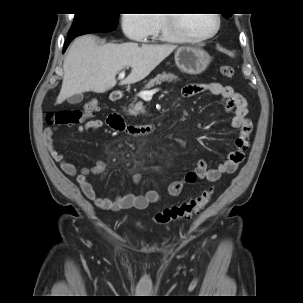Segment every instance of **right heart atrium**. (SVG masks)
Here are the masks:
<instances>
[{"mask_svg": "<svg viewBox=\"0 0 303 303\" xmlns=\"http://www.w3.org/2000/svg\"><path fill=\"white\" fill-rule=\"evenodd\" d=\"M120 26L127 39L143 42L155 30L156 21L152 14H123Z\"/></svg>", "mask_w": 303, "mask_h": 303, "instance_id": "d8ad5b80", "label": "right heart atrium"}]
</instances>
